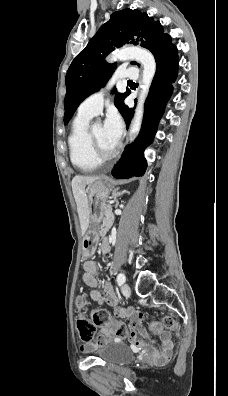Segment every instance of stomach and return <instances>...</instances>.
Returning <instances> with one entry per match:
<instances>
[{
  "label": "stomach",
  "mask_w": 228,
  "mask_h": 396,
  "mask_svg": "<svg viewBox=\"0 0 228 396\" xmlns=\"http://www.w3.org/2000/svg\"><path fill=\"white\" fill-rule=\"evenodd\" d=\"M113 186L107 178H99L91 183L87 189L90 226L82 238L81 248L83 258L91 257L99 241L98 225L106 219L109 208L107 199Z\"/></svg>",
  "instance_id": "1"
}]
</instances>
